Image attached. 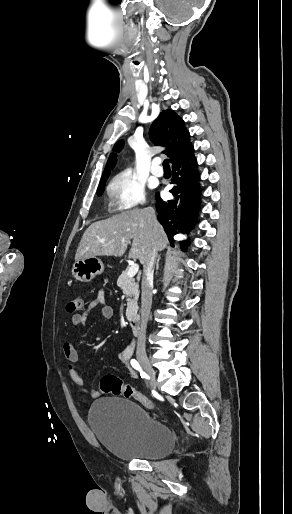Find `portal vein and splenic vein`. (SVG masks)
I'll use <instances>...</instances> for the list:
<instances>
[{"instance_id": "obj_1", "label": "portal vein and splenic vein", "mask_w": 292, "mask_h": 514, "mask_svg": "<svg viewBox=\"0 0 292 514\" xmlns=\"http://www.w3.org/2000/svg\"><path fill=\"white\" fill-rule=\"evenodd\" d=\"M139 270L138 264H131V268L128 270V276L129 278H134L135 274H137Z\"/></svg>"}]
</instances>
